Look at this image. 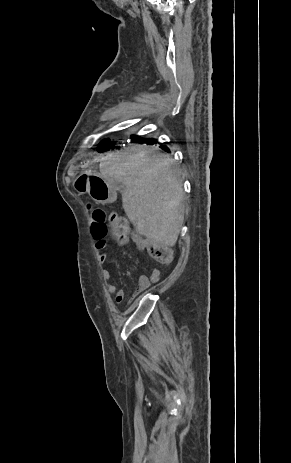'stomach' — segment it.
Instances as JSON below:
<instances>
[{
  "label": "stomach",
  "mask_w": 291,
  "mask_h": 463,
  "mask_svg": "<svg viewBox=\"0 0 291 463\" xmlns=\"http://www.w3.org/2000/svg\"><path fill=\"white\" fill-rule=\"evenodd\" d=\"M73 186L80 193L87 192L98 203L112 202L116 198L113 185L96 173L79 177Z\"/></svg>",
  "instance_id": "0dacf381"
}]
</instances>
